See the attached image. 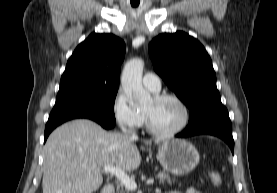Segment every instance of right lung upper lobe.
<instances>
[{
    "label": "right lung upper lobe",
    "mask_w": 277,
    "mask_h": 193,
    "mask_svg": "<svg viewBox=\"0 0 277 193\" xmlns=\"http://www.w3.org/2000/svg\"><path fill=\"white\" fill-rule=\"evenodd\" d=\"M125 44L112 34L92 33L67 62L59 91L81 86L119 87Z\"/></svg>",
    "instance_id": "obj_1"
}]
</instances>
